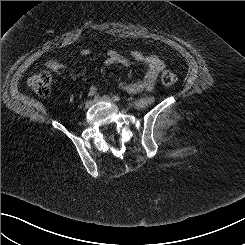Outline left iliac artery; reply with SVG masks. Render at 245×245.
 <instances>
[{
    "label": "left iliac artery",
    "mask_w": 245,
    "mask_h": 245,
    "mask_svg": "<svg viewBox=\"0 0 245 245\" xmlns=\"http://www.w3.org/2000/svg\"><path fill=\"white\" fill-rule=\"evenodd\" d=\"M112 98H113V100L116 101V102L121 101V98H120L119 96H117V95H114Z\"/></svg>",
    "instance_id": "44dca946"
}]
</instances>
